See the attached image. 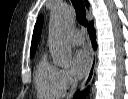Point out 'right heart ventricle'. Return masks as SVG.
<instances>
[{
  "label": "right heart ventricle",
  "instance_id": "obj_1",
  "mask_svg": "<svg viewBox=\"0 0 128 99\" xmlns=\"http://www.w3.org/2000/svg\"><path fill=\"white\" fill-rule=\"evenodd\" d=\"M35 88L40 99H57L64 94L59 80V68L48 62L43 56L36 68Z\"/></svg>",
  "mask_w": 128,
  "mask_h": 99
}]
</instances>
